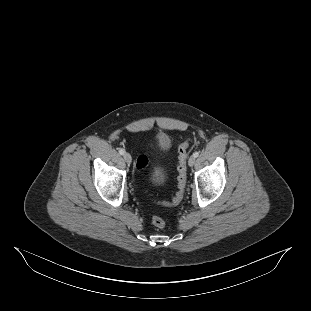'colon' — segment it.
I'll list each match as a JSON object with an SVG mask.
<instances>
[{
	"instance_id": "obj_1",
	"label": "colon",
	"mask_w": 311,
	"mask_h": 311,
	"mask_svg": "<svg viewBox=\"0 0 311 311\" xmlns=\"http://www.w3.org/2000/svg\"><path fill=\"white\" fill-rule=\"evenodd\" d=\"M192 142L191 138L186 139L179 146V164H178V190L175 196L170 201H157L158 204L163 206H175L180 203L183 198L186 187V159L187 148ZM148 164L146 156L141 155L137 158L136 166L138 170H143ZM152 223L155 227L163 229L166 225L165 220L160 216H153Z\"/></svg>"
}]
</instances>
